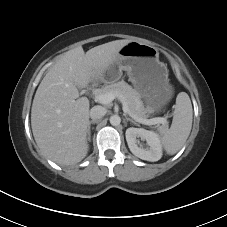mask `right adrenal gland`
<instances>
[{
	"mask_svg": "<svg viewBox=\"0 0 227 227\" xmlns=\"http://www.w3.org/2000/svg\"><path fill=\"white\" fill-rule=\"evenodd\" d=\"M98 121L97 120H92V121H89L88 123V129H87V134H88V141H90L91 139V124H95L97 123Z\"/></svg>",
	"mask_w": 227,
	"mask_h": 227,
	"instance_id": "1",
	"label": "right adrenal gland"
}]
</instances>
